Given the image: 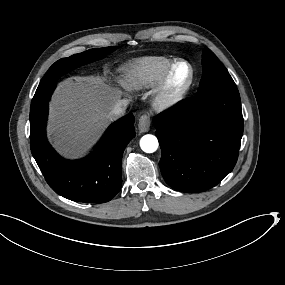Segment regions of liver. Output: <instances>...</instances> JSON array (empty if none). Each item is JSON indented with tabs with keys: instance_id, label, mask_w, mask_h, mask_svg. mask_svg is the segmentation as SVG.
<instances>
[{
	"instance_id": "1",
	"label": "liver",
	"mask_w": 285,
	"mask_h": 285,
	"mask_svg": "<svg viewBox=\"0 0 285 285\" xmlns=\"http://www.w3.org/2000/svg\"><path fill=\"white\" fill-rule=\"evenodd\" d=\"M120 94L100 78L75 77L59 85L52 101L50 134L61 151L78 154L110 122Z\"/></svg>"
}]
</instances>
